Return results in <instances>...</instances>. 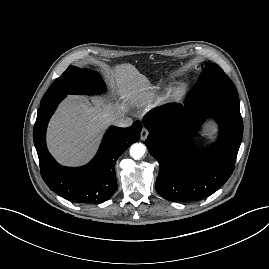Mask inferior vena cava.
<instances>
[{
    "instance_id": "602c4592",
    "label": "inferior vena cava",
    "mask_w": 269,
    "mask_h": 269,
    "mask_svg": "<svg viewBox=\"0 0 269 269\" xmlns=\"http://www.w3.org/2000/svg\"><path fill=\"white\" fill-rule=\"evenodd\" d=\"M133 123V120L130 117L123 118L121 120H118L116 125L119 127H129Z\"/></svg>"
}]
</instances>
